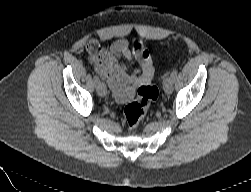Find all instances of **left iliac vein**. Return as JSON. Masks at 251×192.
Masks as SVG:
<instances>
[{"instance_id": "obj_1", "label": "left iliac vein", "mask_w": 251, "mask_h": 192, "mask_svg": "<svg viewBox=\"0 0 251 192\" xmlns=\"http://www.w3.org/2000/svg\"><path fill=\"white\" fill-rule=\"evenodd\" d=\"M174 80L171 77H167L163 83V89L166 94H171L173 91Z\"/></svg>"}]
</instances>
